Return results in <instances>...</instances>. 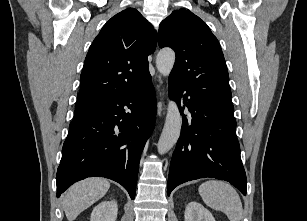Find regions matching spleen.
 I'll list each match as a JSON object with an SVG mask.
<instances>
[{
  "label": "spleen",
  "mask_w": 307,
  "mask_h": 221,
  "mask_svg": "<svg viewBox=\"0 0 307 221\" xmlns=\"http://www.w3.org/2000/svg\"><path fill=\"white\" fill-rule=\"evenodd\" d=\"M199 194L207 206L222 211L230 221L241 220V199L230 184L220 180H209L200 185Z\"/></svg>",
  "instance_id": "1"
}]
</instances>
